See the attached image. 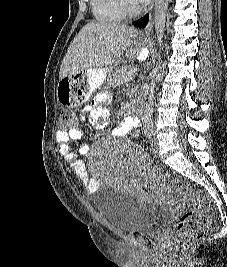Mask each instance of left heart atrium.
I'll list each match as a JSON object with an SVG mask.
<instances>
[{
  "instance_id": "left-heart-atrium-1",
  "label": "left heart atrium",
  "mask_w": 227,
  "mask_h": 267,
  "mask_svg": "<svg viewBox=\"0 0 227 267\" xmlns=\"http://www.w3.org/2000/svg\"><path fill=\"white\" fill-rule=\"evenodd\" d=\"M135 6H143L145 5L149 0H131Z\"/></svg>"
}]
</instances>
